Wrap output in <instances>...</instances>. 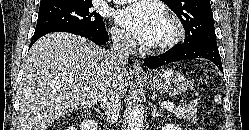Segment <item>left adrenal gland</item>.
Instances as JSON below:
<instances>
[{"label": "left adrenal gland", "mask_w": 249, "mask_h": 130, "mask_svg": "<svg viewBox=\"0 0 249 130\" xmlns=\"http://www.w3.org/2000/svg\"><path fill=\"white\" fill-rule=\"evenodd\" d=\"M151 106H152V114L151 115H152L153 119H155L156 117H163V114H160V113L157 112L156 105H154V104L152 105L151 104Z\"/></svg>", "instance_id": "obj_1"}]
</instances>
